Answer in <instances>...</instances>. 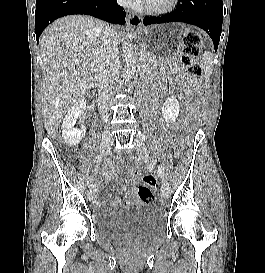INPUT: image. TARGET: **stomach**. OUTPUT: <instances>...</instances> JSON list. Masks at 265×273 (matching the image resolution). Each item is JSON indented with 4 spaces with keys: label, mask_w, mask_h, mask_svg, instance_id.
Masks as SVG:
<instances>
[{
    "label": "stomach",
    "mask_w": 265,
    "mask_h": 273,
    "mask_svg": "<svg viewBox=\"0 0 265 273\" xmlns=\"http://www.w3.org/2000/svg\"><path fill=\"white\" fill-rule=\"evenodd\" d=\"M194 25H157L138 32L140 44L135 49H143L142 60L146 64H169L177 56L178 45L182 38L194 30Z\"/></svg>",
    "instance_id": "1"
}]
</instances>
